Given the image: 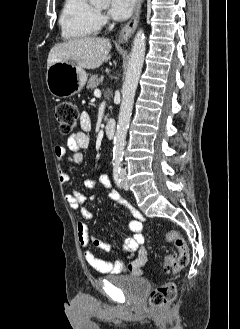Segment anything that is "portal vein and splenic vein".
I'll return each instance as SVG.
<instances>
[{
    "mask_svg": "<svg viewBox=\"0 0 240 329\" xmlns=\"http://www.w3.org/2000/svg\"><path fill=\"white\" fill-rule=\"evenodd\" d=\"M94 95L95 96H100L101 95V91L99 89H95Z\"/></svg>",
    "mask_w": 240,
    "mask_h": 329,
    "instance_id": "portal-vein-and-splenic-vein-1",
    "label": "portal vein and splenic vein"
}]
</instances>
